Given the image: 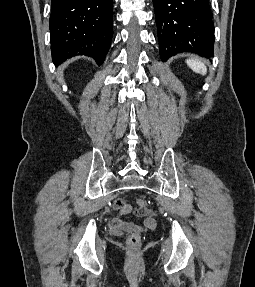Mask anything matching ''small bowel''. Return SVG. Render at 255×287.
<instances>
[{"mask_svg": "<svg viewBox=\"0 0 255 287\" xmlns=\"http://www.w3.org/2000/svg\"><path fill=\"white\" fill-rule=\"evenodd\" d=\"M113 209L117 216L111 221V230L117 234L139 233L143 231H152L156 227V214L150 209H140L135 213L143 217V225L139 226L134 222L123 220V216L132 212L131 204L124 198H118L113 203Z\"/></svg>", "mask_w": 255, "mask_h": 287, "instance_id": "small-bowel-1", "label": "small bowel"}]
</instances>
